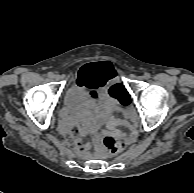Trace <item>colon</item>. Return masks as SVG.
Masks as SVG:
<instances>
[{"mask_svg": "<svg viewBox=\"0 0 194 193\" xmlns=\"http://www.w3.org/2000/svg\"><path fill=\"white\" fill-rule=\"evenodd\" d=\"M116 86H112L109 89V92L112 96H116L115 93ZM103 144L108 152L111 154L121 153L125 148V143L122 139L115 136H108L103 139Z\"/></svg>", "mask_w": 194, "mask_h": 193, "instance_id": "1", "label": "colon"}]
</instances>
